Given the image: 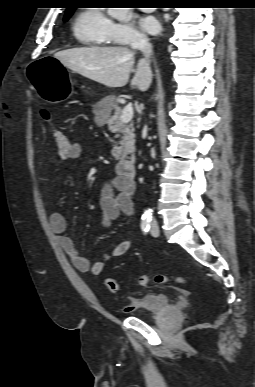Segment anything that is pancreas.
<instances>
[{
	"label": "pancreas",
	"mask_w": 255,
	"mask_h": 387,
	"mask_svg": "<svg viewBox=\"0 0 255 387\" xmlns=\"http://www.w3.org/2000/svg\"><path fill=\"white\" fill-rule=\"evenodd\" d=\"M106 105V111H97L96 114L103 120V123L108 125V129L112 133H116V137L120 138L111 151L112 156L116 160L126 158L128 154L135 152V134L133 123H122L120 121L122 110L118 105L117 98L112 95L104 98L98 103V106ZM114 110V115L110 116V111Z\"/></svg>",
	"instance_id": "1"
}]
</instances>
